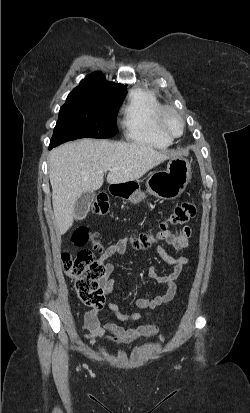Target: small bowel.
<instances>
[{
    "label": "small bowel",
    "instance_id": "small-bowel-1",
    "mask_svg": "<svg viewBox=\"0 0 250 413\" xmlns=\"http://www.w3.org/2000/svg\"><path fill=\"white\" fill-rule=\"evenodd\" d=\"M149 235L153 236L154 232L152 228L148 229ZM192 235V229L189 226H185L180 230L160 229L158 236L161 240L165 241L168 245L174 248L176 254H169L162 244L156 246V251L160 258L167 264L173 267L172 271L167 274H159L155 265H151L147 270L149 278L159 284L167 286V290L164 294L157 295L154 298H137L134 302L135 307L139 310H148L147 312H134L131 314L122 313L114 302L108 300V297L112 295L118 285L111 278V274L114 270V265L108 259L114 255H121L125 250L126 239H122L116 244L110 245L103 254L97 260L98 263L105 267V274L100 279V285L102 287L104 302L106 306L111 310L115 317L120 321H137L144 316L150 315V311L169 303L174 299L177 293L176 280L181 274L183 268L189 264V258L183 254V250L190 246V237ZM99 308H91L84 313V327L88 330V333L84 335L87 340L94 339H106L112 343L118 345H129L141 338L152 337L157 334L158 327L156 323L141 325L136 328H124L115 323L108 322L101 324L98 319ZM108 333V335H106Z\"/></svg>",
    "mask_w": 250,
    "mask_h": 413
}]
</instances>
